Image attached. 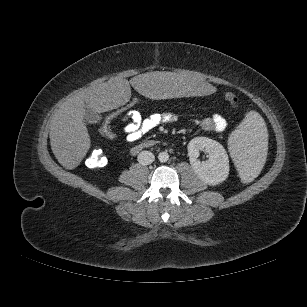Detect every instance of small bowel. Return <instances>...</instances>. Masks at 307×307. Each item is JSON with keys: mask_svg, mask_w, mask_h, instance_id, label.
Returning <instances> with one entry per match:
<instances>
[{"mask_svg": "<svg viewBox=\"0 0 307 307\" xmlns=\"http://www.w3.org/2000/svg\"><path fill=\"white\" fill-rule=\"evenodd\" d=\"M177 121L178 116L171 112L153 113L148 117H143L139 111L134 110L122 121V131L128 142H135L151 131ZM193 123L210 132H222L227 127L226 119L220 114H214L210 118Z\"/></svg>", "mask_w": 307, "mask_h": 307, "instance_id": "1", "label": "small bowel"}]
</instances>
